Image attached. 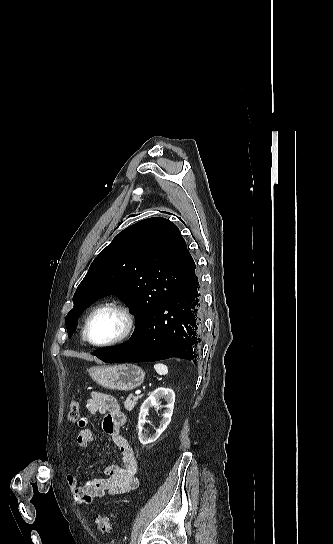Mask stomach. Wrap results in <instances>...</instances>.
<instances>
[{
  "mask_svg": "<svg viewBox=\"0 0 333 544\" xmlns=\"http://www.w3.org/2000/svg\"><path fill=\"white\" fill-rule=\"evenodd\" d=\"M91 378L100 386L119 391H130L139 387L145 372L134 364L94 366L89 369Z\"/></svg>",
  "mask_w": 333,
  "mask_h": 544,
  "instance_id": "1",
  "label": "stomach"
}]
</instances>
